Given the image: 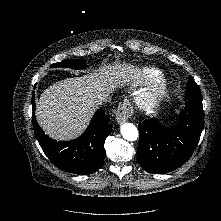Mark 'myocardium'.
Here are the masks:
<instances>
[{
    "label": "myocardium",
    "instance_id": "1",
    "mask_svg": "<svg viewBox=\"0 0 221 221\" xmlns=\"http://www.w3.org/2000/svg\"><path fill=\"white\" fill-rule=\"evenodd\" d=\"M168 88L163 82H158L137 98L138 106L144 111H152L167 96Z\"/></svg>",
    "mask_w": 221,
    "mask_h": 221
}]
</instances>
